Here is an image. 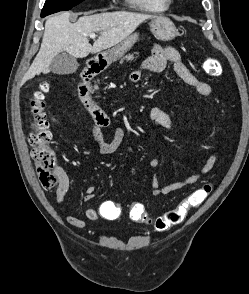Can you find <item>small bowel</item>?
<instances>
[{
  "instance_id": "c3829d8e",
  "label": "small bowel",
  "mask_w": 249,
  "mask_h": 294,
  "mask_svg": "<svg viewBox=\"0 0 249 294\" xmlns=\"http://www.w3.org/2000/svg\"><path fill=\"white\" fill-rule=\"evenodd\" d=\"M167 61H170L173 65V69L176 74L188 85L194 87L198 94L202 97H207L211 94V87L198 78L194 73L184 63L180 53L170 47L153 45L151 49V56L146 58L140 65L139 69L131 74V81L138 82L141 78L142 70H151L154 72H161L165 69ZM150 119L161 127L172 130L175 127L173 120L159 107H152L149 111ZM110 125V121H105L102 119H94V123L89 127V132L94 138L99 152L103 155H111L115 153L124 143L126 138V133L122 128H117L114 131L113 137L109 142H106L102 138L101 130L107 128ZM217 159L216 153H212L207 159L205 165L201 170L195 174H192L185 179L170 183L165 186L160 185L159 176L157 169L160 162L157 158H153L149 165L152 170V181H151V194L154 197H159L163 195L170 194L175 191L183 190L188 186L196 183L200 178L206 175L214 166ZM63 176L60 185L56 189V202L61 205L64 203L67 193L70 189V181L68 176L62 171ZM96 186L90 185L86 188L83 200L85 202H90L93 200L96 192ZM116 208V205L112 201H102L99 206L88 207L85 210V216L90 221H96L100 218L114 220L117 218H112L110 212L112 209ZM66 221L79 229L86 227V222L73 215L67 214Z\"/></svg>"
}]
</instances>
